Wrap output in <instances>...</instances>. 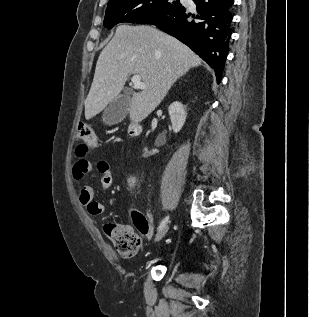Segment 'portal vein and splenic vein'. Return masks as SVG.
Segmentation results:
<instances>
[{
    "label": "portal vein and splenic vein",
    "instance_id": "18ae733b",
    "mask_svg": "<svg viewBox=\"0 0 309 317\" xmlns=\"http://www.w3.org/2000/svg\"><path fill=\"white\" fill-rule=\"evenodd\" d=\"M131 81L135 88L145 89V84L141 81V77L138 74H134L131 78Z\"/></svg>",
    "mask_w": 309,
    "mask_h": 317
}]
</instances>
